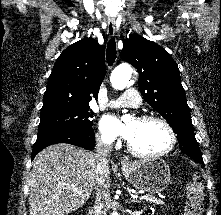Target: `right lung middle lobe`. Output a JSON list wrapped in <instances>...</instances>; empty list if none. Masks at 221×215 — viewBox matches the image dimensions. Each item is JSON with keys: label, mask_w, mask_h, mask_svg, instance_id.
I'll list each match as a JSON object with an SVG mask.
<instances>
[{"label": "right lung middle lobe", "mask_w": 221, "mask_h": 215, "mask_svg": "<svg viewBox=\"0 0 221 215\" xmlns=\"http://www.w3.org/2000/svg\"><path fill=\"white\" fill-rule=\"evenodd\" d=\"M93 112L89 107H80L40 115L38 135L66 130H85L92 128Z\"/></svg>", "instance_id": "dd1d6c3e"}]
</instances>
